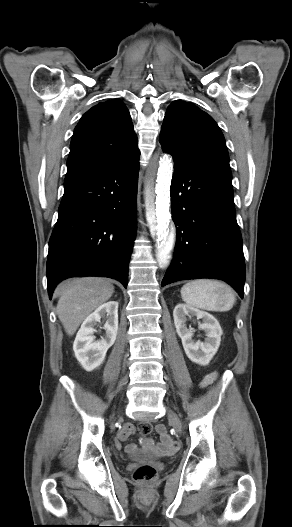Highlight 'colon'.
<instances>
[{"label":"colon","mask_w":292,"mask_h":527,"mask_svg":"<svg viewBox=\"0 0 292 527\" xmlns=\"http://www.w3.org/2000/svg\"><path fill=\"white\" fill-rule=\"evenodd\" d=\"M138 429L140 433L148 434L152 429V425L150 423H142L139 425ZM155 477L156 470L149 464L140 465L134 471V479L141 483H150L155 479Z\"/></svg>","instance_id":"1"}]
</instances>
